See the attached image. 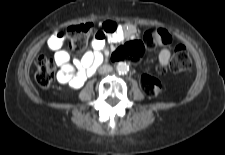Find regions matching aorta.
I'll list each match as a JSON object with an SVG mask.
<instances>
[{
  "mask_svg": "<svg viewBox=\"0 0 225 155\" xmlns=\"http://www.w3.org/2000/svg\"><path fill=\"white\" fill-rule=\"evenodd\" d=\"M116 70L119 74H126L129 71V65L126 62H119L116 65Z\"/></svg>",
  "mask_w": 225,
  "mask_h": 155,
  "instance_id": "762f6f07",
  "label": "aorta"
}]
</instances>
